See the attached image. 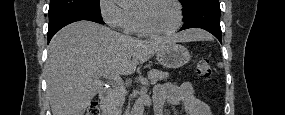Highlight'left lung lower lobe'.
<instances>
[{
  "instance_id": "0a47b994",
  "label": "left lung lower lobe",
  "mask_w": 285,
  "mask_h": 115,
  "mask_svg": "<svg viewBox=\"0 0 285 115\" xmlns=\"http://www.w3.org/2000/svg\"><path fill=\"white\" fill-rule=\"evenodd\" d=\"M220 5L218 0H205L184 14V25L180 30L202 28L212 33L221 43Z\"/></svg>"
}]
</instances>
